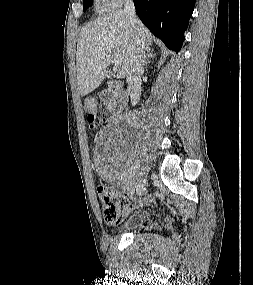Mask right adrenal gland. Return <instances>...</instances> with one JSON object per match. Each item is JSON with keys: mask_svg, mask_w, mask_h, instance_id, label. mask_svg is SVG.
I'll return each mask as SVG.
<instances>
[{"mask_svg": "<svg viewBox=\"0 0 253 285\" xmlns=\"http://www.w3.org/2000/svg\"><path fill=\"white\" fill-rule=\"evenodd\" d=\"M146 57H145V62L144 65H147L149 63V58H152L155 56V54L151 51V48L148 46L146 47Z\"/></svg>", "mask_w": 253, "mask_h": 285, "instance_id": "2a0ac1e0", "label": "right adrenal gland"}]
</instances>
